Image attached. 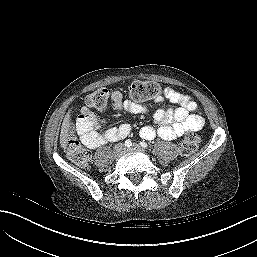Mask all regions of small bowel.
Segmentation results:
<instances>
[{"mask_svg":"<svg viewBox=\"0 0 257 257\" xmlns=\"http://www.w3.org/2000/svg\"><path fill=\"white\" fill-rule=\"evenodd\" d=\"M111 99L117 111L143 114L152 118L157 128L150 125L143 127L140 130V136L145 140H152L156 136L165 140L180 138L186 133L199 131L204 124L203 118L195 113L196 102L185 93L171 87H166L163 96L157 98L156 102L162 103L167 99L177 105L175 109L159 108L151 113L143 104L123 100L119 90L112 92ZM76 126L81 141L91 149L125 138L131 132V126L127 123L117 127H106L105 121L87 108H83Z\"/></svg>","mask_w":257,"mask_h":257,"instance_id":"1","label":"small bowel"}]
</instances>
